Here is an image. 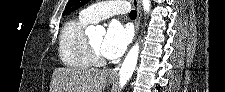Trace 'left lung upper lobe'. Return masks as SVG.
I'll use <instances>...</instances> for the list:
<instances>
[{"mask_svg":"<svg viewBox=\"0 0 225 92\" xmlns=\"http://www.w3.org/2000/svg\"><path fill=\"white\" fill-rule=\"evenodd\" d=\"M87 2H89V0H69L63 15H66L72 11H75L79 7L85 5Z\"/></svg>","mask_w":225,"mask_h":92,"instance_id":"obj_1","label":"left lung upper lobe"}]
</instances>
